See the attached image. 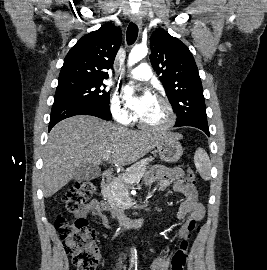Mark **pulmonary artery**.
I'll list each match as a JSON object with an SVG mask.
<instances>
[{
  "label": "pulmonary artery",
  "instance_id": "e3ab8cb5",
  "mask_svg": "<svg viewBox=\"0 0 267 270\" xmlns=\"http://www.w3.org/2000/svg\"><path fill=\"white\" fill-rule=\"evenodd\" d=\"M129 76L137 80H148L152 77V70L147 63H141L129 72Z\"/></svg>",
  "mask_w": 267,
  "mask_h": 270
}]
</instances>
